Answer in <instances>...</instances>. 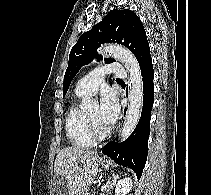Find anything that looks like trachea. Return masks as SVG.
Returning <instances> with one entry per match:
<instances>
[{"mask_svg": "<svg viewBox=\"0 0 211 195\" xmlns=\"http://www.w3.org/2000/svg\"><path fill=\"white\" fill-rule=\"evenodd\" d=\"M117 82H123L121 79H116Z\"/></svg>", "mask_w": 211, "mask_h": 195, "instance_id": "trachea-1", "label": "trachea"}]
</instances>
